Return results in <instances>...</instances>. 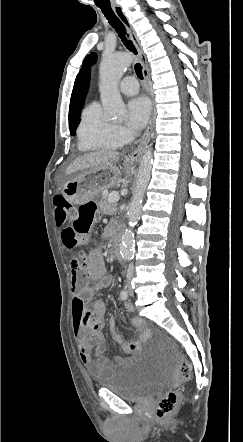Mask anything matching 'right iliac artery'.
<instances>
[{
  "mask_svg": "<svg viewBox=\"0 0 243 442\" xmlns=\"http://www.w3.org/2000/svg\"><path fill=\"white\" fill-rule=\"evenodd\" d=\"M120 298H121L122 300H127V298H128V292H127L126 290H123V291L121 292V294H120Z\"/></svg>",
  "mask_w": 243,
  "mask_h": 442,
  "instance_id": "obj_1",
  "label": "right iliac artery"
}]
</instances>
